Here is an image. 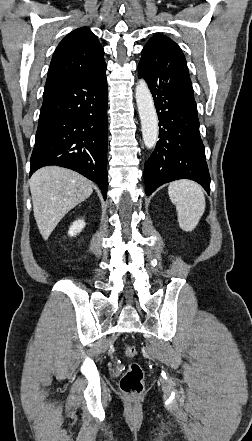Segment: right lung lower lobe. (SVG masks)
Segmentation results:
<instances>
[{"mask_svg":"<svg viewBox=\"0 0 252 441\" xmlns=\"http://www.w3.org/2000/svg\"><path fill=\"white\" fill-rule=\"evenodd\" d=\"M105 71L45 88L30 176L48 165L69 168L96 182L106 199L108 98Z\"/></svg>","mask_w":252,"mask_h":441,"instance_id":"obj_1","label":"right lung lower lobe"}]
</instances>
